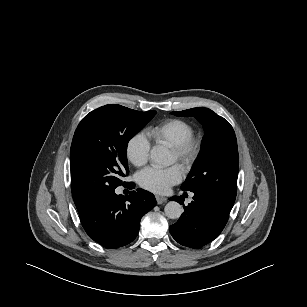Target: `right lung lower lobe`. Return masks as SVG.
Returning <instances> with one entry per match:
<instances>
[{
  "mask_svg": "<svg viewBox=\"0 0 307 307\" xmlns=\"http://www.w3.org/2000/svg\"><path fill=\"white\" fill-rule=\"evenodd\" d=\"M155 204L154 195L140 188L132 191L129 197L117 195L113 191L78 213L91 239L107 248H118L136 238L141 218Z\"/></svg>",
  "mask_w": 307,
  "mask_h": 307,
  "instance_id": "right-lung-lower-lobe-1",
  "label": "right lung lower lobe"
}]
</instances>
